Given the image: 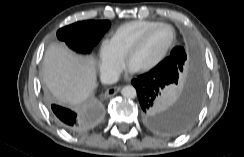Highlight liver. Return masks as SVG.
<instances>
[{
  "mask_svg": "<svg viewBox=\"0 0 244 157\" xmlns=\"http://www.w3.org/2000/svg\"><path fill=\"white\" fill-rule=\"evenodd\" d=\"M44 81L61 103L78 105L97 87L96 61L93 56L78 55L62 44H52L43 58Z\"/></svg>",
  "mask_w": 244,
  "mask_h": 157,
  "instance_id": "1",
  "label": "liver"
}]
</instances>
